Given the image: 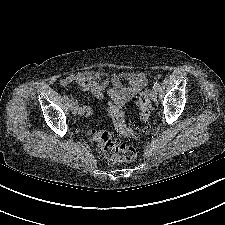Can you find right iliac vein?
Masks as SVG:
<instances>
[{
	"label": "right iliac vein",
	"mask_w": 225,
	"mask_h": 225,
	"mask_svg": "<svg viewBox=\"0 0 225 225\" xmlns=\"http://www.w3.org/2000/svg\"><path fill=\"white\" fill-rule=\"evenodd\" d=\"M71 111H72V113H73L74 115H77V114H78V112H79V107H78L77 103L73 102V103L71 104Z\"/></svg>",
	"instance_id": "obj_1"
}]
</instances>
